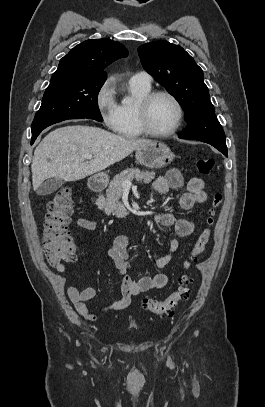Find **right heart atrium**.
Masks as SVG:
<instances>
[{
    "label": "right heart atrium",
    "instance_id": "1",
    "mask_svg": "<svg viewBox=\"0 0 265 407\" xmlns=\"http://www.w3.org/2000/svg\"><path fill=\"white\" fill-rule=\"evenodd\" d=\"M95 105L104 125L114 130L118 121V104L110 81H105L97 89Z\"/></svg>",
    "mask_w": 265,
    "mask_h": 407
}]
</instances>
